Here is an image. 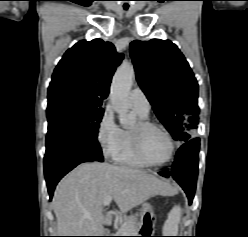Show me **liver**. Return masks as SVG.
<instances>
[{
	"label": "liver",
	"instance_id": "obj_1",
	"mask_svg": "<svg viewBox=\"0 0 248 237\" xmlns=\"http://www.w3.org/2000/svg\"><path fill=\"white\" fill-rule=\"evenodd\" d=\"M174 193L167 183L142 170L98 162L81 164L56 187L52 205L57 234L102 236L103 225L112 221L110 214H103V202L109 195L126 213L153 196Z\"/></svg>",
	"mask_w": 248,
	"mask_h": 237
}]
</instances>
